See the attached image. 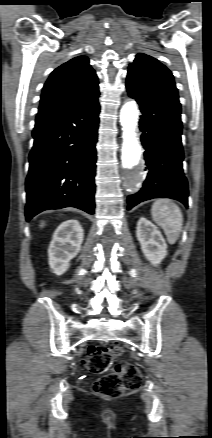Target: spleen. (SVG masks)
<instances>
[{"label": "spleen", "instance_id": "3e777b00", "mask_svg": "<svg viewBox=\"0 0 212 438\" xmlns=\"http://www.w3.org/2000/svg\"><path fill=\"white\" fill-rule=\"evenodd\" d=\"M151 214L156 224L164 230L169 244H175L183 225V215L179 206L169 199H158L152 205Z\"/></svg>", "mask_w": 212, "mask_h": 438}]
</instances>
